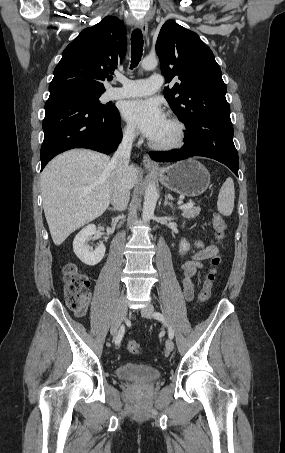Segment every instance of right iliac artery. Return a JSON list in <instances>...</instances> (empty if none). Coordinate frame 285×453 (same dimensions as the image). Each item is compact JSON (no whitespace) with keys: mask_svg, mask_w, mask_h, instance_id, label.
I'll return each instance as SVG.
<instances>
[{"mask_svg":"<svg viewBox=\"0 0 285 453\" xmlns=\"http://www.w3.org/2000/svg\"><path fill=\"white\" fill-rule=\"evenodd\" d=\"M124 332H125V326L122 325V326L120 327L119 333H118V335H117V337H116V340H115V344H116V345H119V344H120V342H121V340H122V337H123V335H124Z\"/></svg>","mask_w":285,"mask_h":453,"instance_id":"1","label":"right iliac artery"}]
</instances>
